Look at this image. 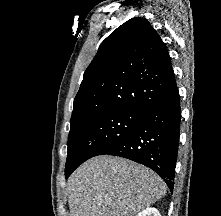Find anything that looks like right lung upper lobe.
Here are the masks:
<instances>
[{
	"label": "right lung upper lobe",
	"instance_id": "obj_1",
	"mask_svg": "<svg viewBox=\"0 0 221 216\" xmlns=\"http://www.w3.org/2000/svg\"><path fill=\"white\" fill-rule=\"evenodd\" d=\"M167 47L143 18H132L100 45L74 100L71 126L112 110H143L175 82Z\"/></svg>",
	"mask_w": 221,
	"mask_h": 216
}]
</instances>
